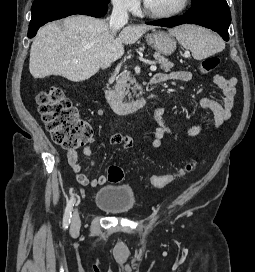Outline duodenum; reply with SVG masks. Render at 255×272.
Returning <instances> with one entry per match:
<instances>
[{
    "instance_id": "410a0bca",
    "label": "duodenum",
    "mask_w": 255,
    "mask_h": 272,
    "mask_svg": "<svg viewBox=\"0 0 255 272\" xmlns=\"http://www.w3.org/2000/svg\"><path fill=\"white\" fill-rule=\"evenodd\" d=\"M151 82L156 83L153 79ZM103 93L108 105L118 114L125 115L136 112L146 104L144 97L124 101L109 89H104Z\"/></svg>"
}]
</instances>
